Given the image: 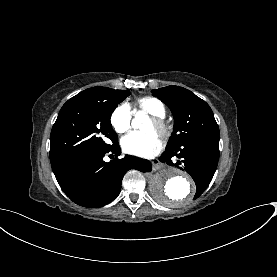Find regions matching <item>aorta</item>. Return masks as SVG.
<instances>
[{"instance_id":"aorta-1","label":"aorta","mask_w":277,"mask_h":277,"mask_svg":"<svg viewBox=\"0 0 277 277\" xmlns=\"http://www.w3.org/2000/svg\"><path fill=\"white\" fill-rule=\"evenodd\" d=\"M146 119V114L139 111L132 121L133 127H139ZM150 191L153 197L167 206L184 205L191 201L195 193V184L183 171L167 167L157 172L151 182Z\"/></svg>"}]
</instances>
